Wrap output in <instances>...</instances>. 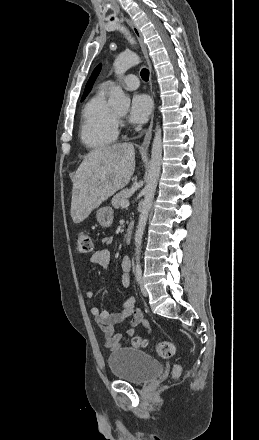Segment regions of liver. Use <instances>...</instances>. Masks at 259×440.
Segmentation results:
<instances>
[{
  "label": "liver",
  "mask_w": 259,
  "mask_h": 440,
  "mask_svg": "<svg viewBox=\"0 0 259 440\" xmlns=\"http://www.w3.org/2000/svg\"><path fill=\"white\" fill-rule=\"evenodd\" d=\"M132 143L100 147L86 155L73 178L71 217L75 224L115 192L125 187L134 173Z\"/></svg>",
  "instance_id": "liver-1"
}]
</instances>
